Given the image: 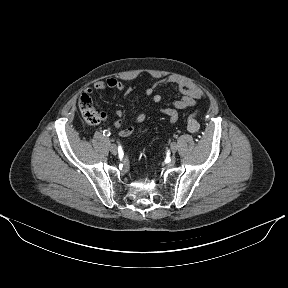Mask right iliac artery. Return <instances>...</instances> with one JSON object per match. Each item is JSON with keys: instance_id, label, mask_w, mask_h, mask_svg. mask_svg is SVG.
<instances>
[{"instance_id": "82829eb1", "label": "right iliac artery", "mask_w": 288, "mask_h": 288, "mask_svg": "<svg viewBox=\"0 0 288 288\" xmlns=\"http://www.w3.org/2000/svg\"><path fill=\"white\" fill-rule=\"evenodd\" d=\"M110 131L109 130H104L103 135L109 137L110 136Z\"/></svg>"}]
</instances>
